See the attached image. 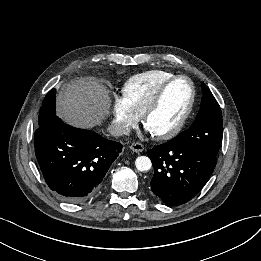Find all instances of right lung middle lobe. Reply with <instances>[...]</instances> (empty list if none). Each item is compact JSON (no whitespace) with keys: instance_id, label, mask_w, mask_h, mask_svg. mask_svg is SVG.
I'll list each match as a JSON object with an SVG mask.
<instances>
[{"instance_id":"obj_1","label":"right lung middle lobe","mask_w":261,"mask_h":261,"mask_svg":"<svg viewBox=\"0 0 261 261\" xmlns=\"http://www.w3.org/2000/svg\"><path fill=\"white\" fill-rule=\"evenodd\" d=\"M55 94H56L55 89L49 91L42 102V107L40 109V114H39V119H38L39 128L43 127L53 117L56 116L55 115Z\"/></svg>"}]
</instances>
